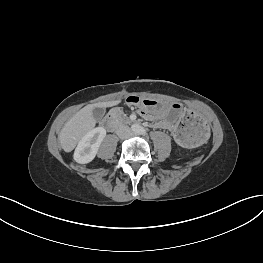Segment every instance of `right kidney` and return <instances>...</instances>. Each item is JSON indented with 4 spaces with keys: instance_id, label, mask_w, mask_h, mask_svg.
Returning <instances> with one entry per match:
<instances>
[{
    "instance_id": "obj_1",
    "label": "right kidney",
    "mask_w": 263,
    "mask_h": 263,
    "mask_svg": "<svg viewBox=\"0 0 263 263\" xmlns=\"http://www.w3.org/2000/svg\"><path fill=\"white\" fill-rule=\"evenodd\" d=\"M105 136L106 130L103 127H97L89 131L79 141L74 152V160L80 164L91 162L95 158Z\"/></svg>"
}]
</instances>
